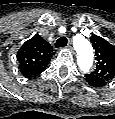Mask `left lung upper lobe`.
Returning <instances> with one entry per match:
<instances>
[{"label":"left lung upper lobe","mask_w":115,"mask_h":119,"mask_svg":"<svg viewBox=\"0 0 115 119\" xmlns=\"http://www.w3.org/2000/svg\"><path fill=\"white\" fill-rule=\"evenodd\" d=\"M93 48L96 55V68L91 73L99 76L106 81L115 77V46L104 38L93 34L91 37Z\"/></svg>","instance_id":"5c2ea615"}]
</instances>
